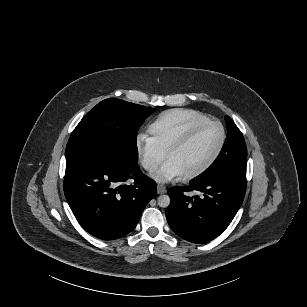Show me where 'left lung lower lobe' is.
<instances>
[{"instance_id": "obj_1", "label": "left lung lower lobe", "mask_w": 307, "mask_h": 307, "mask_svg": "<svg viewBox=\"0 0 307 307\" xmlns=\"http://www.w3.org/2000/svg\"><path fill=\"white\" fill-rule=\"evenodd\" d=\"M203 192V196H187L188 191ZM246 192V179L235 175H220L189 186L168 190L171 203L166 210L170 228L183 239L204 243L219 236L240 208Z\"/></svg>"}]
</instances>
